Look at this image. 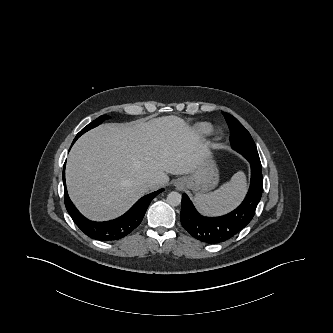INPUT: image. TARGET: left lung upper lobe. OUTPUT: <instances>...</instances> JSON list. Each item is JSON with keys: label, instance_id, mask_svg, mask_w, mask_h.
Segmentation results:
<instances>
[{"label": "left lung upper lobe", "instance_id": "1", "mask_svg": "<svg viewBox=\"0 0 333 333\" xmlns=\"http://www.w3.org/2000/svg\"><path fill=\"white\" fill-rule=\"evenodd\" d=\"M223 115L231 131L230 141L232 148L245 158L254 157L259 159L256 145L250 133L235 117L226 112H223Z\"/></svg>", "mask_w": 333, "mask_h": 333}]
</instances>
